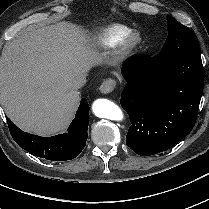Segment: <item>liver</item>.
Masks as SVG:
<instances>
[{
	"label": "liver",
	"instance_id": "liver-1",
	"mask_svg": "<svg viewBox=\"0 0 209 209\" xmlns=\"http://www.w3.org/2000/svg\"><path fill=\"white\" fill-rule=\"evenodd\" d=\"M102 62L86 32L69 22L29 26L0 58V102L21 129L40 135L66 130L80 96L72 83Z\"/></svg>",
	"mask_w": 209,
	"mask_h": 209
}]
</instances>
